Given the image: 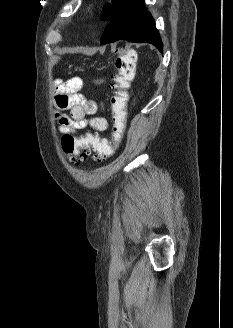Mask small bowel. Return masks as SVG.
<instances>
[{"instance_id":"1","label":"small bowel","mask_w":233,"mask_h":328,"mask_svg":"<svg viewBox=\"0 0 233 328\" xmlns=\"http://www.w3.org/2000/svg\"><path fill=\"white\" fill-rule=\"evenodd\" d=\"M55 83L56 119L61 133L71 134L87 127L104 132L109 128L105 117L96 116L99 105L79 93L83 86L81 78L73 77L66 81L57 79ZM100 107L103 108V104ZM64 110H70L69 115L61 112Z\"/></svg>"}]
</instances>
